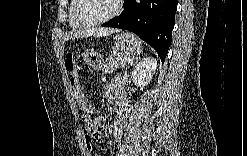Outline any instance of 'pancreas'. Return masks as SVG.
I'll return each instance as SVG.
<instances>
[{"mask_svg":"<svg viewBox=\"0 0 247 156\" xmlns=\"http://www.w3.org/2000/svg\"><path fill=\"white\" fill-rule=\"evenodd\" d=\"M132 57L125 53H112L102 67V72L105 74L113 73L115 70L126 66Z\"/></svg>","mask_w":247,"mask_h":156,"instance_id":"1","label":"pancreas"}]
</instances>
